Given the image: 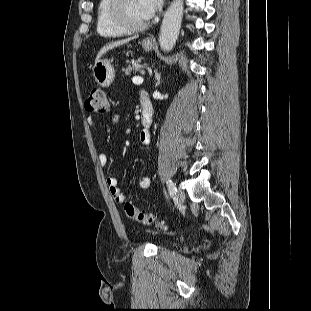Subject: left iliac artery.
I'll use <instances>...</instances> for the list:
<instances>
[{
	"label": "left iliac artery",
	"mask_w": 311,
	"mask_h": 311,
	"mask_svg": "<svg viewBox=\"0 0 311 311\" xmlns=\"http://www.w3.org/2000/svg\"><path fill=\"white\" fill-rule=\"evenodd\" d=\"M166 183H167V186H168V190H169L170 196H174L176 194V191H177L175 184L170 179H168Z\"/></svg>",
	"instance_id": "left-iliac-artery-1"
}]
</instances>
